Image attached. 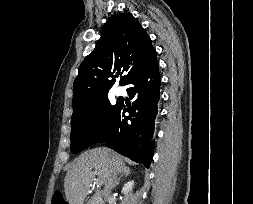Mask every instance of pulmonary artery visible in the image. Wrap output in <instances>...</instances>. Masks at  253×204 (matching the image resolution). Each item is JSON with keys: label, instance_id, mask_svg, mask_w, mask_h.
<instances>
[{"label": "pulmonary artery", "instance_id": "pulmonary-artery-1", "mask_svg": "<svg viewBox=\"0 0 253 204\" xmlns=\"http://www.w3.org/2000/svg\"><path fill=\"white\" fill-rule=\"evenodd\" d=\"M114 94H115L116 96H120V95L123 94V90H122L121 88H117V89L114 91Z\"/></svg>", "mask_w": 253, "mask_h": 204}]
</instances>
